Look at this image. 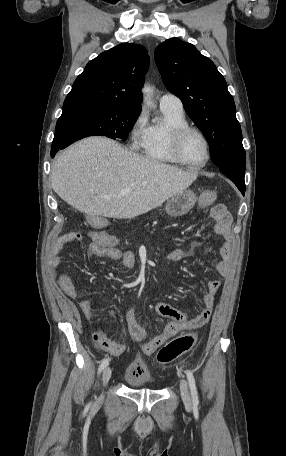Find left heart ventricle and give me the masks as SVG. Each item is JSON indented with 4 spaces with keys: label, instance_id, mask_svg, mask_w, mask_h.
<instances>
[{
    "label": "left heart ventricle",
    "instance_id": "1",
    "mask_svg": "<svg viewBox=\"0 0 286 456\" xmlns=\"http://www.w3.org/2000/svg\"><path fill=\"white\" fill-rule=\"evenodd\" d=\"M181 152L187 161L199 164L206 158L205 142L197 133L189 132L181 142Z\"/></svg>",
    "mask_w": 286,
    "mask_h": 456
}]
</instances>
